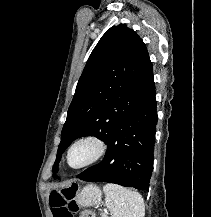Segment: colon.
I'll return each instance as SVG.
<instances>
[{"label": "colon", "mask_w": 211, "mask_h": 217, "mask_svg": "<svg viewBox=\"0 0 211 217\" xmlns=\"http://www.w3.org/2000/svg\"><path fill=\"white\" fill-rule=\"evenodd\" d=\"M77 185L73 184L62 190L53 191L49 197L51 211L54 217H74L78 205L74 199ZM80 217H96L92 211H84Z\"/></svg>", "instance_id": "colon-1"}]
</instances>
